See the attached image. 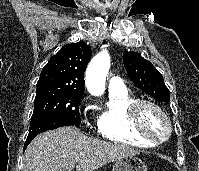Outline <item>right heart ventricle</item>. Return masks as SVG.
<instances>
[{
  "mask_svg": "<svg viewBox=\"0 0 199 171\" xmlns=\"http://www.w3.org/2000/svg\"><path fill=\"white\" fill-rule=\"evenodd\" d=\"M138 99L126 88L109 91L108 101L97 119L98 133L105 139L138 147L156 143L138 135L132 126L130 109Z\"/></svg>",
  "mask_w": 199,
  "mask_h": 171,
  "instance_id": "right-heart-ventricle-1",
  "label": "right heart ventricle"
}]
</instances>
